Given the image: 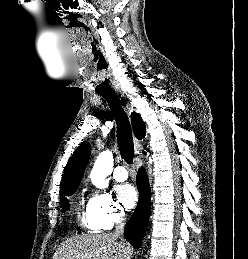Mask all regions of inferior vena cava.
I'll return each mask as SVG.
<instances>
[{
	"label": "inferior vena cava",
	"mask_w": 248,
	"mask_h": 259,
	"mask_svg": "<svg viewBox=\"0 0 248 259\" xmlns=\"http://www.w3.org/2000/svg\"><path fill=\"white\" fill-rule=\"evenodd\" d=\"M115 223H116V227H115V232L113 233V235L119 237L120 235L123 234L124 225H125V220H124L122 214H117V216L115 218Z\"/></svg>",
	"instance_id": "obj_1"
}]
</instances>
